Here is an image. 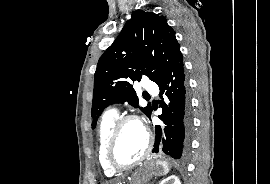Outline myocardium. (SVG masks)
<instances>
[{
	"mask_svg": "<svg viewBox=\"0 0 270 184\" xmlns=\"http://www.w3.org/2000/svg\"><path fill=\"white\" fill-rule=\"evenodd\" d=\"M128 122H137L142 126V128L145 131L146 139H147L146 148L143 154L137 160L128 164H119L114 160V150H115V147H116V144H117V141H118V138H119V135L121 133L123 126ZM152 147H153L152 136L150 132L148 131V129L146 128V126L144 125L143 121L136 115H125L117 119L110 133L107 146H106V151H105L106 162L109 165V167L115 171L128 170L142 163L145 159H147V157L151 153Z\"/></svg>",
	"mask_w": 270,
	"mask_h": 184,
	"instance_id": "1",
	"label": "myocardium"
}]
</instances>
